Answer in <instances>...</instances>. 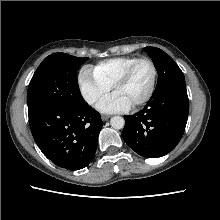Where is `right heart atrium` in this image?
Returning a JSON list of instances; mask_svg holds the SVG:
<instances>
[{"instance_id": "d8ad5b80", "label": "right heart atrium", "mask_w": 220, "mask_h": 220, "mask_svg": "<svg viewBox=\"0 0 220 220\" xmlns=\"http://www.w3.org/2000/svg\"><path fill=\"white\" fill-rule=\"evenodd\" d=\"M78 85L82 98L91 106L96 105L111 90V87L102 82L89 67L80 71Z\"/></svg>"}]
</instances>
